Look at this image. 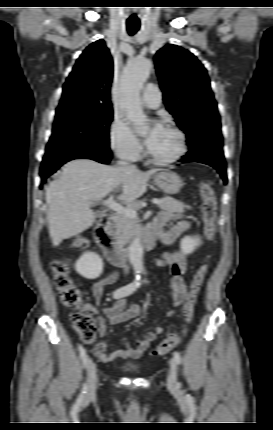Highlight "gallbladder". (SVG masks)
<instances>
[{
	"label": "gallbladder",
	"mask_w": 273,
	"mask_h": 430,
	"mask_svg": "<svg viewBox=\"0 0 273 430\" xmlns=\"http://www.w3.org/2000/svg\"><path fill=\"white\" fill-rule=\"evenodd\" d=\"M96 215H97V216H100V215H101V213H100L99 211H97V212H96Z\"/></svg>",
	"instance_id": "bac80fb5"
}]
</instances>
